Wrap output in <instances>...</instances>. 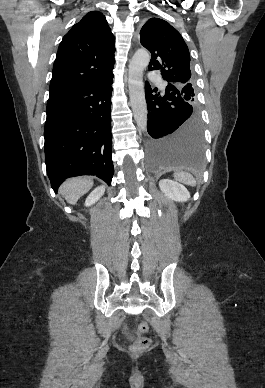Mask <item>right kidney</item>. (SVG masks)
<instances>
[{
	"mask_svg": "<svg viewBox=\"0 0 265 388\" xmlns=\"http://www.w3.org/2000/svg\"><path fill=\"white\" fill-rule=\"evenodd\" d=\"M104 192H105L104 186H99V188H95V190H93V192L89 194L88 198H86L85 206H92V204H95L97 200H100Z\"/></svg>",
	"mask_w": 265,
	"mask_h": 388,
	"instance_id": "ca27d5eb",
	"label": "right kidney"
}]
</instances>
